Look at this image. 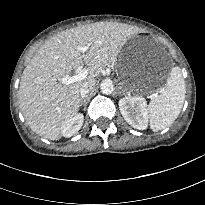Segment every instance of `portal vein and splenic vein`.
Instances as JSON below:
<instances>
[{
	"instance_id": "portal-vein-and-splenic-vein-1",
	"label": "portal vein and splenic vein",
	"mask_w": 205,
	"mask_h": 205,
	"mask_svg": "<svg viewBox=\"0 0 205 205\" xmlns=\"http://www.w3.org/2000/svg\"><path fill=\"white\" fill-rule=\"evenodd\" d=\"M77 49L80 52H86L88 47L83 46V47H78ZM87 75H88V69L81 68L78 70V72L75 75H73V76L67 75L65 77L58 78V81L62 84L69 85V84L75 83L77 81L84 80L87 77ZM152 96H155V95H152Z\"/></svg>"
}]
</instances>
